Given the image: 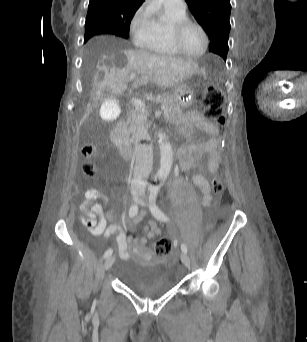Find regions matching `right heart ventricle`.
I'll return each instance as SVG.
<instances>
[{
    "label": "right heart ventricle",
    "instance_id": "1",
    "mask_svg": "<svg viewBox=\"0 0 307 342\" xmlns=\"http://www.w3.org/2000/svg\"><path fill=\"white\" fill-rule=\"evenodd\" d=\"M187 11L184 12H172L166 11V16L157 20V33L152 38L145 42L134 44L135 51H143L152 54H159L167 57H179L183 56L174 48L170 41L169 36V24L172 21H176L187 17Z\"/></svg>",
    "mask_w": 307,
    "mask_h": 342
}]
</instances>
